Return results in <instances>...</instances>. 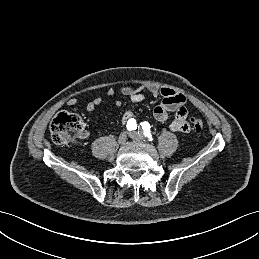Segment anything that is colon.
<instances>
[{
  "label": "colon",
  "mask_w": 259,
  "mask_h": 259,
  "mask_svg": "<svg viewBox=\"0 0 259 259\" xmlns=\"http://www.w3.org/2000/svg\"><path fill=\"white\" fill-rule=\"evenodd\" d=\"M195 132L199 133L203 130L204 124L201 119L195 118L192 121ZM83 129V122L77 115L61 112L52 121L50 132L53 141L58 145H68L77 134Z\"/></svg>",
  "instance_id": "5ec220e1"
}]
</instances>
